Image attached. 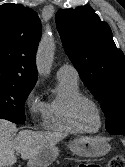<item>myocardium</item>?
Wrapping results in <instances>:
<instances>
[{
    "label": "myocardium",
    "mask_w": 125,
    "mask_h": 167,
    "mask_svg": "<svg viewBox=\"0 0 125 167\" xmlns=\"http://www.w3.org/2000/svg\"><path fill=\"white\" fill-rule=\"evenodd\" d=\"M86 102L92 104L95 107V109L98 113V117H99V124H98L97 128L93 129V130L84 128L79 120V110H80L81 106ZM70 115H71L72 122L78 128V130L80 132L96 133L97 131H99L101 129L102 124H103V114H102V110H101L100 105L98 104V102L96 100H94L93 98L86 96V95H80L73 100V102L71 103V106H70Z\"/></svg>",
    "instance_id": "obj_1"
}]
</instances>
